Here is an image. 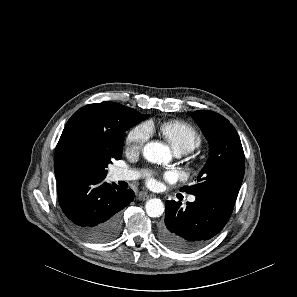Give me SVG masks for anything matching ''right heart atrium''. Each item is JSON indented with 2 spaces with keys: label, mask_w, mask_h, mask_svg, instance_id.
Masks as SVG:
<instances>
[{
  "label": "right heart atrium",
  "mask_w": 297,
  "mask_h": 297,
  "mask_svg": "<svg viewBox=\"0 0 297 297\" xmlns=\"http://www.w3.org/2000/svg\"><path fill=\"white\" fill-rule=\"evenodd\" d=\"M151 136V128L147 124H139L127 135V149L133 152H140Z\"/></svg>",
  "instance_id": "obj_1"
}]
</instances>
